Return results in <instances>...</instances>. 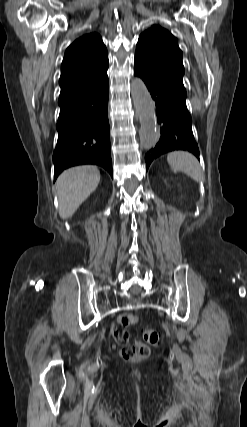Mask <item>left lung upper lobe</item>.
<instances>
[{
	"label": "left lung upper lobe",
	"mask_w": 247,
	"mask_h": 427,
	"mask_svg": "<svg viewBox=\"0 0 247 427\" xmlns=\"http://www.w3.org/2000/svg\"><path fill=\"white\" fill-rule=\"evenodd\" d=\"M135 62L149 74L186 95L182 81V51L177 39L166 29L155 25L140 35Z\"/></svg>",
	"instance_id": "obj_1"
}]
</instances>
